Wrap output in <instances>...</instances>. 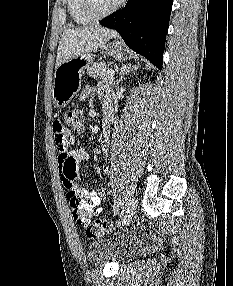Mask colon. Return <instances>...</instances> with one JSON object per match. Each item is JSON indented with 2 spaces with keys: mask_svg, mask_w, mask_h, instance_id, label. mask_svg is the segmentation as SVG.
<instances>
[{
  "mask_svg": "<svg viewBox=\"0 0 233 286\" xmlns=\"http://www.w3.org/2000/svg\"><path fill=\"white\" fill-rule=\"evenodd\" d=\"M83 121V111L81 109L75 108L64 113L62 126L65 128L68 127L75 132H79L83 128ZM67 199L71 209L77 215L82 217L83 213L80 211L82 206L81 198L74 191H69L67 193ZM112 228L113 223L107 220H96L93 224L88 226L86 230V236L89 239H96L111 231Z\"/></svg>",
  "mask_w": 233,
  "mask_h": 286,
  "instance_id": "1",
  "label": "colon"
}]
</instances>
